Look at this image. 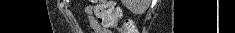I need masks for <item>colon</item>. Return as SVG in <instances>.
Here are the masks:
<instances>
[{"label": "colon", "mask_w": 235, "mask_h": 33, "mask_svg": "<svg viewBox=\"0 0 235 33\" xmlns=\"http://www.w3.org/2000/svg\"><path fill=\"white\" fill-rule=\"evenodd\" d=\"M95 14L98 21L106 28H113L117 25L121 16V10L114 1L99 0L96 1ZM122 32L136 33L134 23L131 20H126Z\"/></svg>", "instance_id": "obj_1"}]
</instances>
